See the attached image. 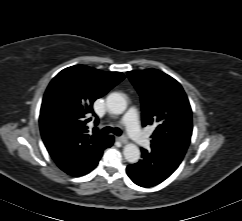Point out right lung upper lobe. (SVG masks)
Listing matches in <instances>:
<instances>
[{
  "mask_svg": "<svg viewBox=\"0 0 242 221\" xmlns=\"http://www.w3.org/2000/svg\"><path fill=\"white\" fill-rule=\"evenodd\" d=\"M124 77L121 72L75 65L59 72L50 82L39 122L44 144L59 167L81 168L87 161V151L102 143L107 135L96 129L90 134L86 123L91 118H85L93 113V102Z\"/></svg>",
  "mask_w": 242,
  "mask_h": 221,
  "instance_id": "right-lung-upper-lobe-1",
  "label": "right lung upper lobe"
}]
</instances>
